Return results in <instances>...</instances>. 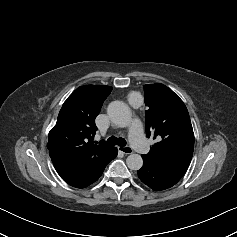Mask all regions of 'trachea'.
Wrapping results in <instances>:
<instances>
[{"label": "trachea", "mask_w": 237, "mask_h": 237, "mask_svg": "<svg viewBox=\"0 0 237 237\" xmlns=\"http://www.w3.org/2000/svg\"><path fill=\"white\" fill-rule=\"evenodd\" d=\"M107 145H118V146H125L126 145V140L123 138H116L114 136H111L110 138L107 139L106 141Z\"/></svg>", "instance_id": "trachea-1"}]
</instances>
